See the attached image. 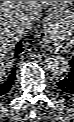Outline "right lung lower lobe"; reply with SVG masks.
<instances>
[{"label": "right lung lower lobe", "mask_w": 74, "mask_h": 122, "mask_svg": "<svg viewBox=\"0 0 74 122\" xmlns=\"http://www.w3.org/2000/svg\"><path fill=\"white\" fill-rule=\"evenodd\" d=\"M23 51L22 41L18 42L15 47L14 58H17L18 55ZM16 78V69L13 67L10 75L5 79H0V96L6 94L14 84Z\"/></svg>", "instance_id": "obj_1"}]
</instances>
